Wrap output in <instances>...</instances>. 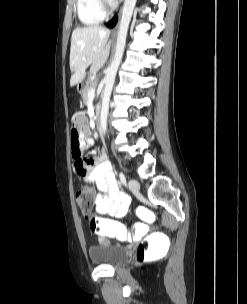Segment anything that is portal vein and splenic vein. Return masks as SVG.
Segmentation results:
<instances>
[{
  "instance_id": "obj_1",
  "label": "portal vein and splenic vein",
  "mask_w": 247,
  "mask_h": 304,
  "mask_svg": "<svg viewBox=\"0 0 247 304\" xmlns=\"http://www.w3.org/2000/svg\"><path fill=\"white\" fill-rule=\"evenodd\" d=\"M83 60H85V58H83ZM88 96H89V97H94V96H95V89H94V88H91V89L88 91Z\"/></svg>"
}]
</instances>
